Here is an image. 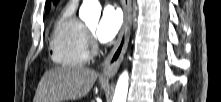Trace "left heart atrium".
I'll return each mask as SVG.
<instances>
[{
  "mask_svg": "<svg viewBox=\"0 0 221 102\" xmlns=\"http://www.w3.org/2000/svg\"><path fill=\"white\" fill-rule=\"evenodd\" d=\"M123 24V14L116 6L108 5L102 12L96 28V36L100 42L112 40Z\"/></svg>",
  "mask_w": 221,
  "mask_h": 102,
  "instance_id": "left-heart-atrium-1",
  "label": "left heart atrium"
}]
</instances>
